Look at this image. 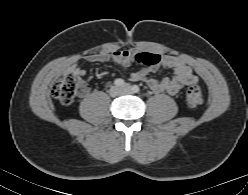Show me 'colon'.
I'll use <instances>...</instances> for the list:
<instances>
[{
	"mask_svg": "<svg viewBox=\"0 0 248 195\" xmlns=\"http://www.w3.org/2000/svg\"><path fill=\"white\" fill-rule=\"evenodd\" d=\"M135 63L154 66L159 63L160 56L149 52H137L133 55ZM87 87L77 75L70 73L58 79L52 86V95L63 105H70L75 98L84 94ZM186 102L190 109H196L203 102L202 90L199 85L192 84L186 91Z\"/></svg>",
	"mask_w": 248,
	"mask_h": 195,
	"instance_id": "obj_1",
	"label": "colon"
}]
</instances>
